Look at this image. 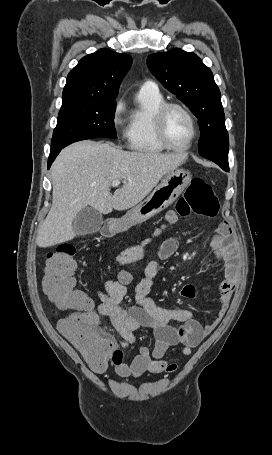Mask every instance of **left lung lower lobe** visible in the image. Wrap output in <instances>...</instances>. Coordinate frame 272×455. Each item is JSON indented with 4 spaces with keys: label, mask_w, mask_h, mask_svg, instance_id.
Wrapping results in <instances>:
<instances>
[{
    "label": "left lung lower lobe",
    "mask_w": 272,
    "mask_h": 455,
    "mask_svg": "<svg viewBox=\"0 0 272 455\" xmlns=\"http://www.w3.org/2000/svg\"><path fill=\"white\" fill-rule=\"evenodd\" d=\"M228 151L229 149H220L215 150L206 154H202L201 156L215 162L218 164L223 170L228 171Z\"/></svg>",
    "instance_id": "left-lung-lower-lobe-1"
}]
</instances>
